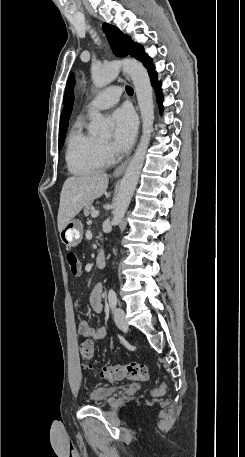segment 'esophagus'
I'll list each match as a JSON object with an SVG mask.
<instances>
[{
    "label": "esophagus",
    "mask_w": 245,
    "mask_h": 457,
    "mask_svg": "<svg viewBox=\"0 0 245 457\" xmlns=\"http://www.w3.org/2000/svg\"><path fill=\"white\" fill-rule=\"evenodd\" d=\"M125 77L127 78V80H130V77L127 73H124ZM130 162V157L127 158V160H125V162H123L121 165H119L113 172V175L114 176H120L124 173L128 163Z\"/></svg>",
    "instance_id": "esophagus-1"
}]
</instances>
